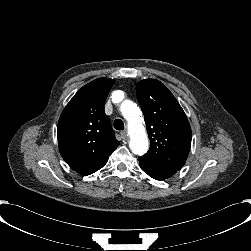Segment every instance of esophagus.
<instances>
[{"label":"esophagus","mask_w":251,"mask_h":251,"mask_svg":"<svg viewBox=\"0 0 251 251\" xmlns=\"http://www.w3.org/2000/svg\"><path fill=\"white\" fill-rule=\"evenodd\" d=\"M121 136L123 137V139L127 140L128 139L127 131H125V130L122 131Z\"/></svg>","instance_id":"esophagus-1"}]
</instances>
